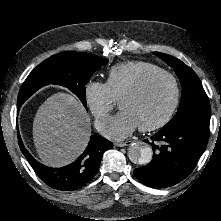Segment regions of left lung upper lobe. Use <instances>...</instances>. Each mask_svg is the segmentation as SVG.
<instances>
[{"label":"left lung upper lobe","mask_w":221,"mask_h":221,"mask_svg":"<svg viewBox=\"0 0 221 221\" xmlns=\"http://www.w3.org/2000/svg\"><path fill=\"white\" fill-rule=\"evenodd\" d=\"M153 53L174 68L182 85L178 111L161 130H173L188 122L209 125L211 117L210 103L196 73L175 57L159 52Z\"/></svg>","instance_id":"obj_1"}]
</instances>
